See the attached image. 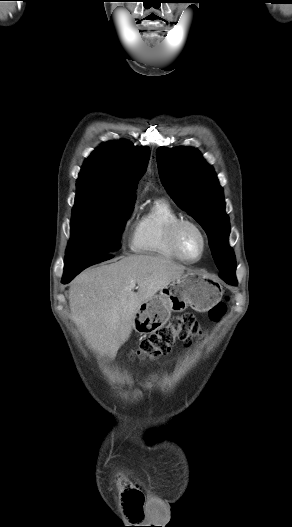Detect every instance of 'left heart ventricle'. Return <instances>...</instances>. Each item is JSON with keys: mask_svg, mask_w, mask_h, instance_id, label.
Listing matches in <instances>:
<instances>
[{"mask_svg": "<svg viewBox=\"0 0 292 527\" xmlns=\"http://www.w3.org/2000/svg\"><path fill=\"white\" fill-rule=\"evenodd\" d=\"M179 245L187 258L196 259L202 250L201 235L192 226H184L179 233Z\"/></svg>", "mask_w": 292, "mask_h": 527, "instance_id": "b2bd125f", "label": "left heart ventricle"}]
</instances>
